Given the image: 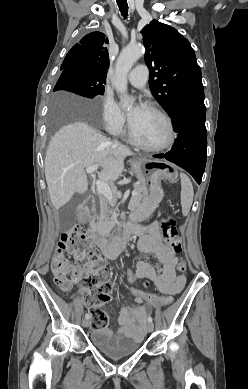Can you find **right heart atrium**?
Instances as JSON below:
<instances>
[{
    "instance_id": "obj_1",
    "label": "right heart atrium",
    "mask_w": 248,
    "mask_h": 389,
    "mask_svg": "<svg viewBox=\"0 0 248 389\" xmlns=\"http://www.w3.org/2000/svg\"><path fill=\"white\" fill-rule=\"evenodd\" d=\"M102 120L104 128L111 134L121 135L125 131L126 120L118 104L110 94L102 100Z\"/></svg>"
}]
</instances>
